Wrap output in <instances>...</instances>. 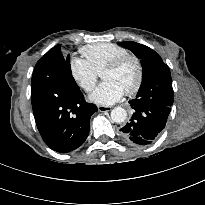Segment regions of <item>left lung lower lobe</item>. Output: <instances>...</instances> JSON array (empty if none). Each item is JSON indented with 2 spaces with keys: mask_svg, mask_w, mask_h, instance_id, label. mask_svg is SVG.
<instances>
[{
  "mask_svg": "<svg viewBox=\"0 0 205 205\" xmlns=\"http://www.w3.org/2000/svg\"><path fill=\"white\" fill-rule=\"evenodd\" d=\"M134 113L120 129L122 138L136 145H149L165 128L171 106L148 105L129 101Z\"/></svg>",
  "mask_w": 205,
  "mask_h": 205,
  "instance_id": "0a47b994",
  "label": "left lung lower lobe"
}]
</instances>
